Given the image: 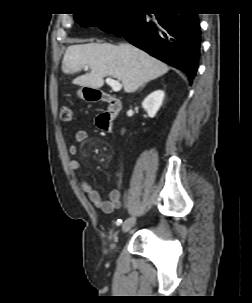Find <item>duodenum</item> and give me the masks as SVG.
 Wrapping results in <instances>:
<instances>
[{"label":"duodenum","mask_w":252,"mask_h":303,"mask_svg":"<svg viewBox=\"0 0 252 303\" xmlns=\"http://www.w3.org/2000/svg\"><path fill=\"white\" fill-rule=\"evenodd\" d=\"M89 99L103 101L107 104V109L100 114L99 119L104 125V130L111 133L113 130V120L122 109L121 101L110 94L95 90L89 92Z\"/></svg>","instance_id":"obj_1"}]
</instances>
